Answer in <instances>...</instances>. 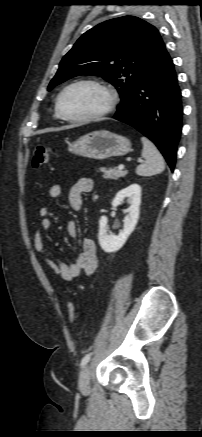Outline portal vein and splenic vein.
Here are the masks:
<instances>
[{
    "label": "portal vein and splenic vein",
    "mask_w": 202,
    "mask_h": 437,
    "mask_svg": "<svg viewBox=\"0 0 202 437\" xmlns=\"http://www.w3.org/2000/svg\"><path fill=\"white\" fill-rule=\"evenodd\" d=\"M139 162H141V160H139ZM118 169H119V170H123V169H124V165H123V164H120V165L118 166Z\"/></svg>",
    "instance_id": "obj_1"
}]
</instances>
